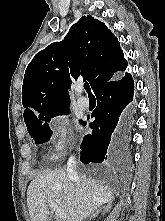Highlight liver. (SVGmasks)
Returning <instances> with one entry per match:
<instances>
[{
    "label": "liver",
    "mask_w": 165,
    "mask_h": 221,
    "mask_svg": "<svg viewBox=\"0 0 165 221\" xmlns=\"http://www.w3.org/2000/svg\"><path fill=\"white\" fill-rule=\"evenodd\" d=\"M75 179L64 169L47 170L33 179L27 190V206L31 221H48L49 202L55 203L67 215L65 221H82L103 204H111V190L85 176Z\"/></svg>",
    "instance_id": "1"
}]
</instances>
